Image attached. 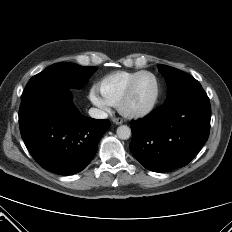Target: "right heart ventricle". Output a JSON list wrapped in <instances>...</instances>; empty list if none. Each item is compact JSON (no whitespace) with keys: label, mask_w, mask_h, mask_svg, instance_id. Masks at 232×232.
Segmentation results:
<instances>
[{"label":"right heart ventricle","mask_w":232,"mask_h":232,"mask_svg":"<svg viewBox=\"0 0 232 232\" xmlns=\"http://www.w3.org/2000/svg\"><path fill=\"white\" fill-rule=\"evenodd\" d=\"M139 72L115 71L105 75L98 82L99 93L109 105L118 106L129 83Z\"/></svg>","instance_id":"e07e8e85"}]
</instances>
